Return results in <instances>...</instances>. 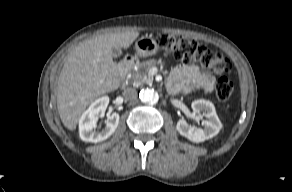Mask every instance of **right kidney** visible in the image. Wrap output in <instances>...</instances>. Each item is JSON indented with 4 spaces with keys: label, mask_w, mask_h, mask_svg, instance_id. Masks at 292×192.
Wrapping results in <instances>:
<instances>
[{
    "label": "right kidney",
    "mask_w": 292,
    "mask_h": 192,
    "mask_svg": "<svg viewBox=\"0 0 292 192\" xmlns=\"http://www.w3.org/2000/svg\"><path fill=\"white\" fill-rule=\"evenodd\" d=\"M109 97L103 96L96 99L89 108L82 114L79 121V134L81 140L85 142L97 143L109 138L119 124V114L112 113L105 122V128L101 131L95 129L98 118L103 116Z\"/></svg>",
    "instance_id": "obj_1"
}]
</instances>
